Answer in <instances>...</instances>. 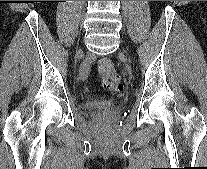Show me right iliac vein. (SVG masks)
<instances>
[{"mask_svg":"<svg viewBox=\"0 0 207 169\" xmlns=\"http://www.w3.org/2000/svg\"><path fill=\"white\" fill-rule=\"evenodd\" d=\"M86 75H87V72H86V73H85V72H81L80 77H81L82 79H84V78H86Z\"/></svg>","mask_w":207,"mask_h":169,"instance_id":"63e3f726","label":"right iliac vein"}]
</instances>
